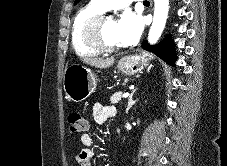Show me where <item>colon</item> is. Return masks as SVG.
<instances>
[{
    "label": "colon",
    "instance_id": "1",
    "mask_svg": "<svg viewBox=\"0 0 227 166\" xmlns=\"http://www.w3.org/2000/svg\"><path fill=\"white\" fill-rule=\"evenodd\" d=\"M87 126V121L81 113L71 112L68 115V130L71 134L85 131Z\"/></svg>",
    "mask_w": 227,
    "mask_h": 166
}]
</instances>
